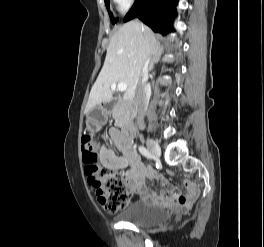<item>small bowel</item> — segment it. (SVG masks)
Listing matches in <instances>:
<instances>
[{"instance_id":"obj_1","label":"small bowel","mask_w":264,"mask_h":247,"mask_svg":"<svg viewBox=\"0 0 264 247\" xmlns=\"http://www.w3.org/2000/svg\"><path fill=\"white\" fill-rule=\"evenodd\" d=\"M110 135L121 155H117L112 149L103 145L99 151V158L103 167L111 170L128 168L126 181L130 189L145 200H156L166 205H177L182 202L186 208L192 204L198 192L195 183L185 182L183 191L177 190L163 175L154 173L153 169L141 160L129 136L116 128L110 130ZM146 178H151L155 183H160L163 186V191L157 196L147 195L143 184Z\"/></svg>"}]
</instances>
